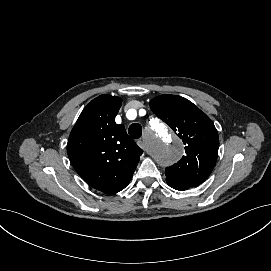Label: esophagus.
I'll return each instance as SVG.
<instances>
[{
	"mask_svg": "<svg viewBox=\"0 0 271 271\" xmlns=\"http://www.w3.org/2000/svg\"><path fill=\"white\" fill-rule=\"evenodd\" d=\"M146 136V133L144 134V137ZM137 144L139 145V148L142 151H147L149 154H153L151 153V151H149L152 148V141L149 138H139Z\"/></svg>",
	"mask_w": 271,
	"mask_h": 271,
	"instance_id": "34e87169",
	"label": "esophagus"
}]
</instances>
